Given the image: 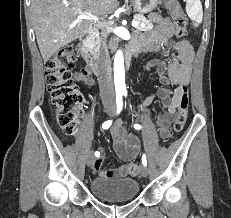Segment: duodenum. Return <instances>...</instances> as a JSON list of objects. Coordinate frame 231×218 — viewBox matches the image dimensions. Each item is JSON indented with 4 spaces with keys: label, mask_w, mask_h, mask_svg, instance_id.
<instances>
[{
    "label": "duodenum",
    "mask_w": 231,
    "mask_h": 218,
    "mask_svg": "<svg viewBox=\"0 0 231 218\" xmlns=\"http://www.w3.org/2000/svg\"><path fill=\"white\" fill-rule=\"evenodd\" d=\"M95 34V27L88 26L85 34L81 37V45L79 46L81 52L84 54L88 69L94 74H101L102 67L98 56L89 50V42ZM137 55V50L130 48L126 53V60L130 62Z\"/></svg>",
    "instance_id": "obj_1"
}]
</instances>
